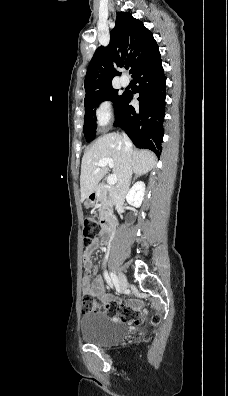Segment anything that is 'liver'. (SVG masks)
Wrapping results in <instances>:
<instances>
[{"instance_id":"6515ba94","label":"liver","mask_w":228,"mask_h":396,"mask_svg":"<svg viewBox=\"0 0 228 396\" xmlns=\"http://www.w3.org/2000/svg\"><path fill=\"white\" fill-rule=\"evenodd\" d=\"M131 168L136 175L146 174L156 164V156L149 150L133 149L131 143ZM125 143L118 133H109L98 138L91 148L84 154L81 164L80 191L81 202L96 191L98 183L107 174L108 168L98 167L96 164L104 158L113 160V174L119 178Z\"/></svg>"}]
</instances>
